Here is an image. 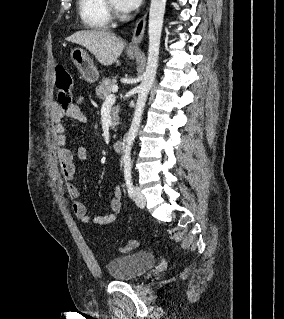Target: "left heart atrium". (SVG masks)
Here are the masks:
<instances>
[{
    "mask_svg": "<svg viewBox=\"0 0 284 319\" xmlns=\"http://www.w3.org/2000/svg\"><path fill=\"white\" fill-rule=\"evenodd\" d=\"M142 0H118V6L122 11L129 12L139 7Z\"/></svg>",
    "mask_w": 284,
    "mask_h": 319,
    "instance_id": "left-heart-atrium-1",
    "label": "left heart atrium"
}]
</instances>
